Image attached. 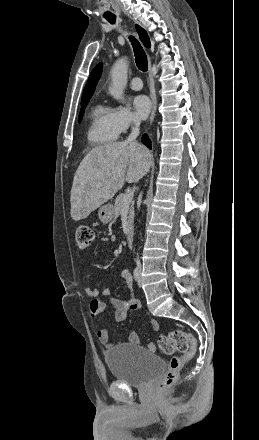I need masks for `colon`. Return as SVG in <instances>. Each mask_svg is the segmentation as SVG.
Returning a JSON list of instances; mask_svg holds the SVG:
<instances>
[{
	"mask_svg": "<svg viewBox=\"0 0 259 440\" xmlns=\"http://www.w3.org/2000/svg\"><path fill=\"white\" fill-rule=\"evenodd\" d=\"M75 239L80 248L89 247L94 239L92 228L87 224L79 225L75 232ZM158 345L165 354L181 353L180 356L170 360L168 372L159 385L160 390H165L176 382L185 364L195 356L197 344L190 333L176 329L162 335Z\"/></svg>",
	"mask_w": 259,
	"mask_h": 440,
	"instance_id": "1",
	"label": "colon"
}]
</instances>
